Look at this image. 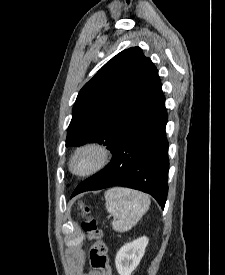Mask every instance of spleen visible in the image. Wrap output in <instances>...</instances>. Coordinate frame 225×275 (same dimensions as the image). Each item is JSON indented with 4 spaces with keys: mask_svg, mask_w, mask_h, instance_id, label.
Here are the masks:
<instances>
[{
    "mask_svg": "<svg viewBox=\"0 0 225 275\" xmlns=\"http://www.w3.org/2000/svg\"><path fill=\"white\" fill-rule=\"evenodd\" d=\"M106 210L114 217L116 232H127L142 218L150 206L149 197L136 190L115 187L105 192Z\"/></svg>",
    "mask_w": 225,
    "mask_h": 275,
    "instance_id": "spleen-1",
    "label": "spleen"
}]
</instances>
